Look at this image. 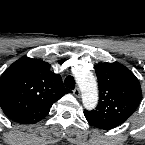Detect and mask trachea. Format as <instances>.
Listing matches in <instances>:
<instances>
[{"label": "trachea", "instance_id": "obj_1", "mask_svg": "<svg viewBox=\"0 0 145 145\" xmlns=\"http://www.w3.org/2000/svg\"><path fill=\"white\" fill-rule=\"evenodd\" d=\"M65 86L69 89L75 88V80L72 76H67L64 80Z\"/></svg>", "mask_w": 145, "mask_h": 145}]
</instances>
